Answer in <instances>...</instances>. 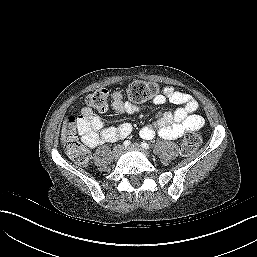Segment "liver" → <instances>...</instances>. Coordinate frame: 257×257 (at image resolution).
I'll return each instance as SVG.
<instances>
[{"label": "liver", "instance_id": "1", "mask_svg": "<svg viewBox=\"0 0 257 257\" xmlns=\"http://www.w3.org/2000/svg\"><path fill=\"white\" fill-rule=\"evenodd\" d=\"M66 134H67V119H65L62 127L61 141L63 144L66 142Z\"/></svg>", "mask_w": 257, "mask_h": 257}]
</instances>
